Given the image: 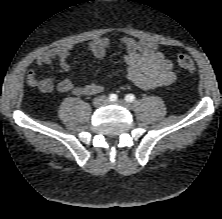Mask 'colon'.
Here are the masks:
<instances>
[{"label":"colon","mask_w":222,"mask_h":219,"mask_svg":"<svg viewBox=\"0 0 222 219\" xmlns=\"http://www.w3.org/2000/svg\"><path fill=\"white\" fill-rule=\"evenodd\" d=\"M177 65L182 70L188 71L190 73H195L197 71L195 63L192 61V59L185 55V54H179L176 57Z\"/></svg>","instance_id":"5ec220e1"}]
</instances>
